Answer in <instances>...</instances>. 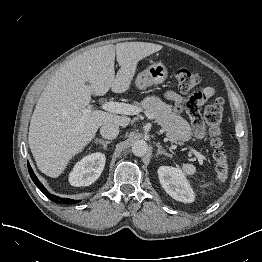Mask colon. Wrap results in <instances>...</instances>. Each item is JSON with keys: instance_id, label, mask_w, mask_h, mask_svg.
Listing matches in <instances>:
<instances>
[{"instance_id": "colon-1", "label": "colon", "mask_w": 262, "mask_h": 262, "mask_svg": "<svg viewBox=\"0 0 262 262\" xmlns=\"http://www.w3.org/2000/svg\"><path fill=\"white\" fill-rule=\"evenodd\" d=\"M174 78L178 89L184 93L192 91L201 82V75L198 72L184 68H177L174 72ZM223 104L224 101L221 97L215 98L203 111V118L211 136V143L215 148L216 176L219 181H224L228 173V152L223 147V139L221 138ZM188 111L191 115L197 116L198 109L194 101L189 104Z\"/></svg>"}]
</instances>
